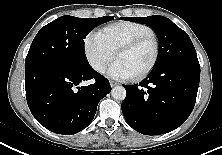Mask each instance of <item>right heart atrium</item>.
<instances>
[{"label":"right heart atrium","mask_w":222,"mask_h":155,"mask_svg":"<svg viewBox=\"0 0 222 155\" xmlns=\"http://www.w3.org/2000/svg\"><path fill=\"white\" fill-rule=\"evenodd\" d=\"M84 50L91 67L102 73L114 58L115 51L109 46L100 32H90L84 40Z\"/></svg>","instance_id":"d8ad5b80"}]
</instances>
